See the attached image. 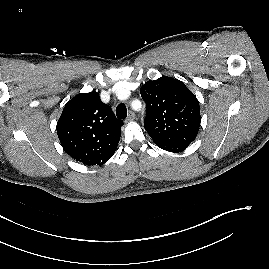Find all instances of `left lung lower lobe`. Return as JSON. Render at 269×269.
<instances>
[{"mask_svg":"<svg viewBox=\"0 0 269 269\" xmlns=\"http://www.w3.org/2000/svg\"><path fill=\"white\" fill-rule=\"evenodd\" d=\"M157 146L164 149V150H166V151L175 152V153L182 152L183 150H185L188 147L186 145H168V146H159V145H157Z\"/></svg>","mask_w":269,"mask_h":269,"instance_id":"left-lung-lower-lobe-1","label":"left lung lower lobe"}]
</instances>
